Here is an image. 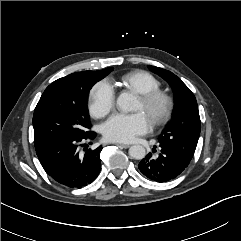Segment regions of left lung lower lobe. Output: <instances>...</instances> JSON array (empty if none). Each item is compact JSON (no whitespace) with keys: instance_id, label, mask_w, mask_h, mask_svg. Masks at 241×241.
Segmentation results:
<instances>
[{"instance_id":"left-lung-lower-lobe-1","label":"left lung lower lobe","mask_w":241,"mask_h":241,"mask_svg":"<svg viewBox=\"0 0 241 241\" xmlns=\"http://www.w3.org/2000/svg\"><path fill=\"white\" fill-rule=\"evenodd\" d=\"M154 151L156 150L153 149ZM188 164L171 149L159 145L158 156L152 157L151 153H149L141 160L138 168L150 180L161 183L178 177L187 168Z\"/></svg>"}]
</instances>
